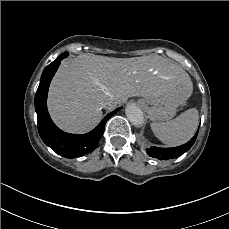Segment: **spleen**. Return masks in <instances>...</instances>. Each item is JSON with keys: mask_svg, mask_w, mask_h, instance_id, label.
I'll return each instance as SVG.
<instances>
[{"mask_svg": "<svg viewBox=\"0 0 229 229\" xmlns=\"http://www.w3.org/2000/svg\"><path fill=\"white\" fill-rule=\"evenodd\" d=\"M198 124V110L191 108L173 120L151 123V129L162 143L174 147L188 142L194 136Z\"/></svg>", "mask_w": 229, "mask_h": 229, "instance_id": "obj_1", "label": "spleen"}]
</instances>
